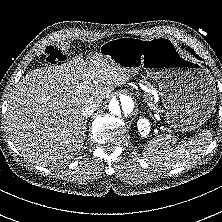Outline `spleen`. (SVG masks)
<instances>
[{
	"mask_svg": "<svg viewBox=\"0 0 222 222\" xmlns=\"http://www.w3.org/2000/svg\"><path fill=\"white\" fill-rule=\"evenodd\" d=\"M211 139L210 131H205L174 146L169 138L159 135L157 139L146 146L143 155L148 161L158 166H186L203 155Z\"/></svg>",
	"mask_w": 222,
	"mask_h": 222,
	"instance_id": "1",
	"label": "spleen"
}]
</instances>
